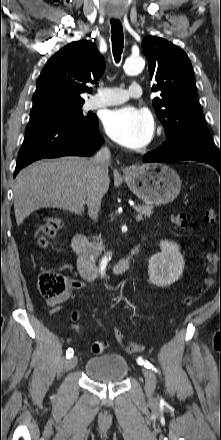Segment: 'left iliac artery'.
<instances>
[{"label": "left iliac artery", "mask_w": 221, "mask_h": 440, "mask_svg": "<svg viewBox=\"0 0 221 440\" xmlns=\"http://www.w3.org/2000/svg\"><path fill=\"white\" fill-rule=\"evenodd\" d=\"M137 362H138V364H140V365H144V367H146V368H148V369H152V370H154L155 372H158L159 373V371L148 361V360H144V359H142L141 357L140 358H138L137 359Z\"/></svg>", "instance_id": "left-iliac-artery-1"}]
</instances>
